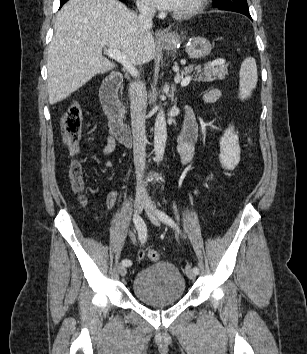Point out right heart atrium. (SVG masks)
<instances>
[{"label":"right heart atrium","mask_w":307,"mask_h":354,"mask_svg":"<svg viewBox=\"0 0 307 354\" xmlns=\"http://www.w3.org/2000/svg\"><path fill=\"white\" fill-rule=\"evenodd\" d=\"M138 7L143 11H150L152 9L149 0H138Z\"/></svg>","instance_id":"right-heart-atrium-1"}]
</instances>
